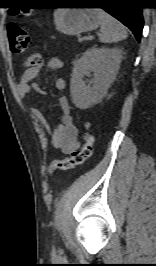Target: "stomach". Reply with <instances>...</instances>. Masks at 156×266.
Returning a JSON list of instances; mask_svg holds the SVG:
<instances>
[{"label": "stomach", "instance_id": "stomach-1", "mask_svg": "<svg viewBox=\"0 0 156 266\" xmlns=\"http://www.w3.org/2000/svg\"><path fill=\"white\" fill-rule=\"evenodd\" d=\"M56 29L67 35H77L96 29L100 24L97 9L59 8L54 12Z\"/></svg>", "mask_w": 156, "mask_h": 266}]
</instances>
